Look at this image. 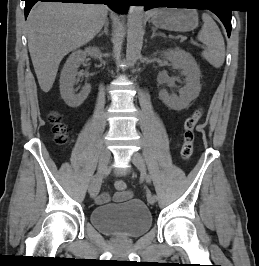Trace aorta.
Masks as SVG:
<instances>
[{"label": "aorta", "instance_id": "aorta-1", "mask_svg": "<svg viewBox=\"0 0 259 266\" xmlns=\"http://www.w3.org/2000/svg\"><path fill=\"white\" fill-rule=\"evenodd\" d=\"M143 12L142 6H130L127 22L126 60L134 65L141 55L143 45Z\"/></svg>", "mask_w": 259, "mask_h": 266}]
</instances>
